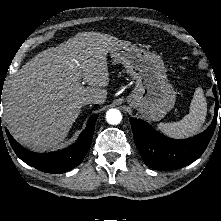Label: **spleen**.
<instances>
[{"instance_id":"spleen-1","label":"spleen","mask_w":221,"mask_h":221,"mask_svg":"<svg viewBox=\"0 0 221 221\" xmlns=\"http://www.w3.org/2000/svg\"><path fill=\"white\" fill-rule=\"evenodd\" d=\"M207 102L202 88L195 90L190 104V111L180 121L172 123H159L158 129L165 135L182 139L198 133L206 120Z\"/></svg>"}]
</instances>
